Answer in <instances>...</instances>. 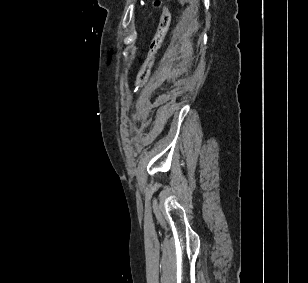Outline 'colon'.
I'll return each mask as SVG.
<instances>
[{"mask_svg": "<svg viewBox=\"0 0 308 283\" xmlns=\"http://www.w3.org/2000/svg\"><path fill=\"white\" fill-rule=\"evenodd\" d=\"M152 6L155 9L160 10V17L155 35L150 43L146 59L137 73L135 84L138 88L143 86L147 78L149 77L155 61V56L162 45V42L167 34L170 25V19H171L170 12L168 8L163 5L162 1L153 0Z\"/></svg>", "mask_w": 308, "mask_h": 283, "instance_id": "1", "label": "colon"}]
</instances>
